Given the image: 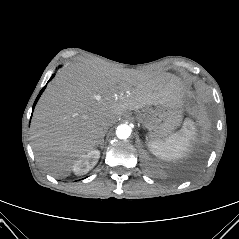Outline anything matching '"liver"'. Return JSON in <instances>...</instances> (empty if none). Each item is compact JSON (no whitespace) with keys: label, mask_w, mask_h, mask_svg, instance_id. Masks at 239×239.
I'll return each mask as SVG.
<instances>
[{"label":"liver","mask_w":239,"mask_h":239,"mask_svg":"<svg viewBox=\"0 0 239 239\" xmlns=\"http://www.w3.org/2000/svg\"><path fill=\"white\" fill-rule=\"evenodd\" d=\"M185 93V84L171 74L72 65L49 83L35 107L30 131L36 159L52 176L67 177L102 138L105 120L182 103Z\"/></svg>","instance_id":"6515ba94"}]
</instances>
